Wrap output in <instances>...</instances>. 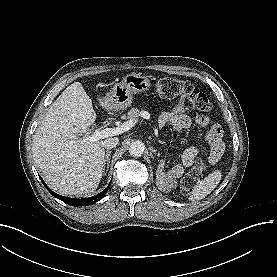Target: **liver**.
I'll list each match as a JSON object with an SVG mask.
<instances>
[{
  "label": "liver",
  "mask_w": 277,
  "mask_h": 277,
  "mask_svg": "<svg viewBox=\"0 0 277 277\" xmlns=\"http://www.w3.org/2000/svg\"><path fill=\"white\" fill-rule=\"evenodd\" d=\"M98 101L106 111L114 110L105 97ZM95 120L92 100L83 85L74 82L49 107L35 131V164L57 193L81 197L98 187L104 172V140H86Z\"/></svg>",
  "instance_id": "6515ba94"
}]
</instances>
